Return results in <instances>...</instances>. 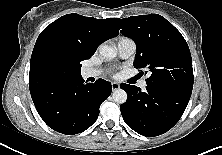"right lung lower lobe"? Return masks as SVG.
<instances>
[{"label":"right lung lower lobe","mask_w":222,"mask_h":155,"mask_svg":"<svg viewBox=\"0 0 222 155\" xmlns=\"http://www.w3.org/2000/svg\"><path fill=\"white\" fill-rule=\"evenodd\" d=\"M111 91L110 82L98 79L94 84H85L80 75L62 78L52 88L31 96L37 112L50 128L73 135L97 120L100 105Z\"/></svg>","instance_id":"right-lung-lower-lobe-1"}]
</instances>
